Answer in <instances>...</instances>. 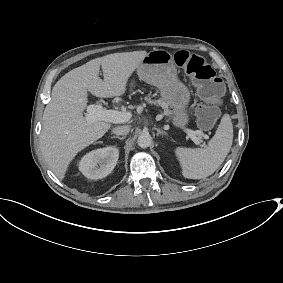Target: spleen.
Instances as JSON below:
<instances>
[{
    "label": "spleen",
    "mask_w": 283,
    "mask_h": 283,
    "mask_svg": "<svg viewBox=\"0 0 283 283\" xmlns=\"http://www.w3.org/2000/svg\"><path fill=\"white\" fill-rule=\"evenodd\" d=\"M233 142V124L224 114L213 138L205 148H176L182 174L189 179H202L213 174L223 163Z\"/></svg>",
    "instance_id": "3e777b00"
}]
</instances>
